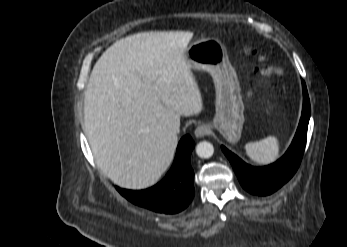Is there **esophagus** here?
Wrapping results in <instances>:
<instances>
[{"label": "esophagus", "mask_w": 347, "mask_h": 247, "mask_svg": "<svg viewBox=\"0 0 347 247\" xmlns=\"http://www.w3.org/2000/svg\"><path fill=\"white\" fill-rule=\"evenodd\" d=\"M210 133V129L206 125H199L194 131L196 137L201 138Z\"/></svg>", "instance_id": "obj_1"}]
</instances>
